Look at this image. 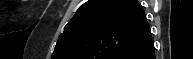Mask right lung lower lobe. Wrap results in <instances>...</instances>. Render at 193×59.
<instances>
[{"mask_svg": "<svg viewBox=\"0 0 193 59\" xmlns=\"http://www.w3.org/2000/svg\"><path fill=\"white\" fill-rule=\"evenodd\" d=\"M125 59H155L153 39L151 38L145 45Z\"/></svg>", "mask_w": 193, "mask_h": 59, "instance_id": "98d812e1", "label": "right lung lower lobe"}]
</instances>
